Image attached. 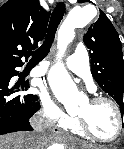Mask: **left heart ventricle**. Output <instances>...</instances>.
Returning <instances> with one entry per match:
<instances>
[{"mask_svg": "<svg viewBox=\"0 0 124 149\" xmlns=\"http://www.w3.org/2000/svg\"><path fill=\"white\" fill-rule=\"evenodd\" d=\"M77 115L83 116L91 130L99 137L113 138L118 130L114 109L107 103L92 105L86 102L79 107Z\"/></svg>", "mask_w": 124, "mask_h": 149, "instance_id": "1", "label": "left heart ventricle"}]
</instances>
